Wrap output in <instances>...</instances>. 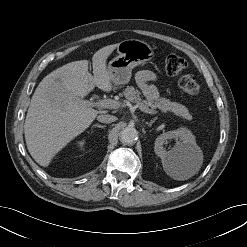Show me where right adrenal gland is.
<instances>
[{
	"instance_id": "2a0ac1e0",
	"label": "right adrenal gland",
	"mask_w": 247,
	"mask_h": 247,
	"mask_svg": "<svg viewBox=\"0 0 247 247\" xmlns=\"http://www.w3.org/2000/svg\"><path fill=\"white\" fill-rule=\"evenodd\" d=\"M93 126L97 127V128H105L106 127L105 125H101V124H94Z\"/></svg>"
}]
</instances>
